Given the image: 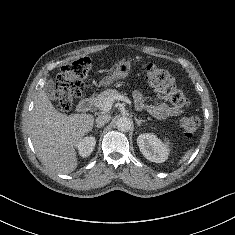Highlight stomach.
Segmentation results:
<instances>
[{
  "label": "stomach",
  "mask_w": 235,
  "mask_h": 235,
  "mask_svg": "<svg viewBox=\"0 0 235 235\" xmlns=\"http://www.w3.org/2000/svg\"><path fill=\"white\" fill-rule=\"evenodd\" d=\"M131 62L126 60L119 61L111 73L100 81L101 86H109L119 79L126 78L131 71Z\"/></svg>",
  "instance_id": "obj_1"
}]
</instances>
